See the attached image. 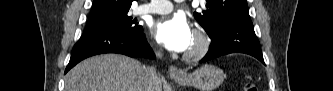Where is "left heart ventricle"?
<instances>
[{
  "label": "left heart ventricle",
  "instance_id": "1",
  "mask_svg": "<svg viewBox=\"0 0 333 91\" xmlns=\"http://www.w3.org/2000/svg\"><path fill=\"white\" fill-rule=\"evenodd\" d=\"M195 45H196V39H195L194 36H193V39H192L191 44H190V46H189V48H188L187 51H189V50H191L192 48H194Z\"/></svg>",
  "mask_w": 333,
  "mask_h": 91
}]
</instances>
